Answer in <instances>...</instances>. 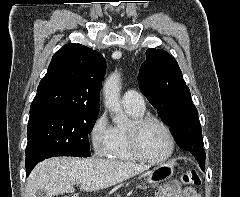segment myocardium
<instances>
[{
    "mask_svg": "<svg viewBox=\"0 0 240 197\" xmlns=\"http://www.w3.org/2000/svg\"><path fill=\"white\" fill-rule=\"evenodd\" d=\"M158 123L161 125L164 130L166 131L169 142H170V149L169 152L162 158L154 159L148 156L141 144V133L143 128L148 125L149 123ZM127 137L129 146L132 152L142 161L150 163V164H162L170 160L176 149V140L173 134L171 127L161 118L153 115H143L139 118H135L131 124L127 127Z\"/></svg>",
    "mask_w": 240,
    "mask_h": 197,
    "instance_id": "f54148a6",
    "label": "myocardium"
}]
</instances>
